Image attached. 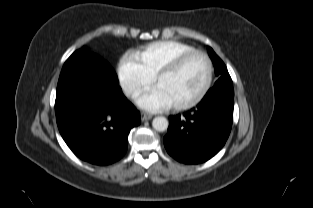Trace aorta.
<instances>
[{
	"label": "aorta",
	"instance_id": "aorta-1",
	"mask_svg": "<svg viewBox=\"0 0 313 208\" xmlns=\"http://www.w3.org/2000/svg\"><path fill=\"white\" fill-rule=\"evenodd\" d=\"M168 125V120L162 116L155 117L152 121L153 128L159 132H164L165 130H167Z\"/></svg>",
	"mask_w": 313,
	"mask_h": 208
}]
</instances>
